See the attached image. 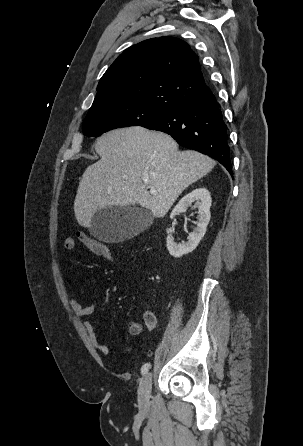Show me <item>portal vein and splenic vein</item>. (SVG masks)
<instances>
[{
  "mask_svg": "<svg viewBox=\"0 0 303 446\" xmlns=\"http://www.w3.org/2000/svg\"><path fill=\"white\" fill-rule=\"evenodd\" d=\"M144 182L147 184L148 183V179H145ZM150 193L153 195L157 194V191L154 188H150Z\"/></svg>",
  "mask_w": 303,
  "mask_h": 446,
  "instance_id": "obj_1",
  "label": "portal vein and splenic vein"
}]
</instances>
